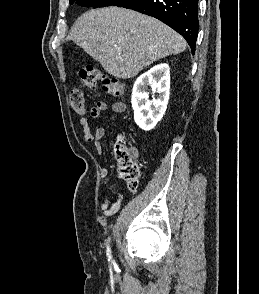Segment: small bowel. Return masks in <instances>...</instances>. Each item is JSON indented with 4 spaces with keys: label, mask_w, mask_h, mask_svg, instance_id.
Masks as SVG:
<instances>
[{
    "label": "small bowel",
    "mask_w": 259,
    "mask_h": 294,
    "mask_svg": "<svg viewBox=\"0 0 259 294\" xmlns=\"http://www.w3.org/2000/svg\"><path fill=\"white\" fill-rule=\"evenodd\" d=\"M109 106L105 101H98L94 107L90 108L89 114L91 117H98L102 112L108 110ZM111 109L114 112H123L125 106L123 103H115L111 106ZM79 123L83 128V136L84 139L88 142H92L94 144L96 152L101 155L102 154V143L101 140L104 137L105 131L103 128L99 127L95 130H91L89 127L88 119L86 117H82L79 119ZM100 176L102 178H107L109 176V169L107 167H102L100 170ZM122 200V195H119L118 200L113 202L111 198H104L100 204L101 209L108 216L115 214Z\"/></svg>",
    "instance_id": "small-bowel-1"
}]
</instances>
